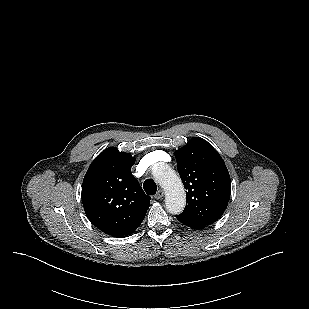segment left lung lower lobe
<instances>
[{
	"instance_id": "0a47b994",
	"label": "left lung lower lobe",
	"mask_w": 309,
	"mask_h": 309,
	"mask_svg": "<svg viewBox=\"0 0 309 309\" xmlns=\"http://www.w3.org/2000/svg\"><path fill=\"white\" fill-rule=\"evenodd\" d=\"M176 218L178 219V221H180L182 224L188 226V227H191L193 229H202L204 228L205 226L204 225H201L199 223H194V222H191L190 220H187V219H181V218H178L176 216Z\"/></svg>"
}]
</instances>
